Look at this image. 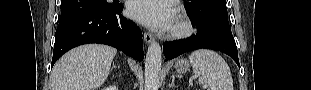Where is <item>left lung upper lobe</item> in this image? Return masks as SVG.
<instances>
[{
    "mask_svg": "<svg viewBox=\"0 0 311 90\" xmlns=\"http://www.w3.org/2000/svg\"><path fill=\"white\" fill-rule=\"evenodd\" d=\"M184 7L196 21L197 29L216 27L231 32L226 0H187Z\"/></svg>",
    "mask_w": 311,
    "mask_h": 90,
    "instance_id": "left-lung-upper-lobe-1",
    "label": "left lung upper lobe"
}]
</instances>
